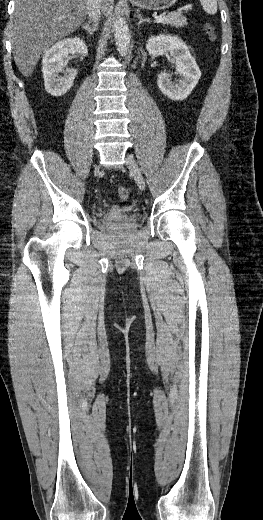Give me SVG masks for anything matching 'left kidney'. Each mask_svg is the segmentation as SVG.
I'll return each instance as SVG.
<instances>
[{
	"mask_svg": "<svg viewBox=\"0 0 263 520\" xmlns=\"http://www.w3.org/2000/svg\"><path fill=\"white\" fill-rule=\"evenodd\" d=\"M146 49L152 56L169 52L175 60L181 79L173 83L167 73L158 74L157 84L161 92L172 100H184L192 92L201 77V71L186 44L176 36L158 35L149 38Z\"/></svg>",
	"mask_w": 263,
	"mask_h": 520,
	"instance_id": "left-kidney-1",
	"label": "left kidney"
}]
</instances>
